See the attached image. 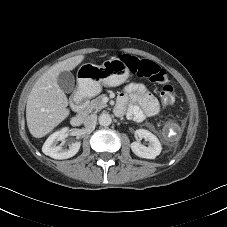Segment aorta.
<instances>
[{
    "mask_svg": "<svg viewBox=\"0 0 227 227\" xmlns=\"http://www.w3.org/2000/svg\"><path fill=\"white\" fill-rule=\"evenodd\" d=\"M112 123V118L108 113H102L99 116V124L101 126H109Z\"/></svg>",
    "mask_w": 227,
    "mask_h": 227,
    "instance_id": "aorta-1",
    "label": "aorta"
}]
</instances>
